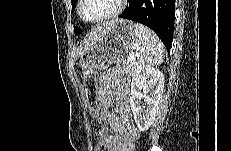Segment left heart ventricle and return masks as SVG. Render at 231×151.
<instances>
[{
    "label": "left heart ventricle",
    "mask_w": 231,
    "mask_h": 151,
    "mask_svg": "<svg viewBox=\"0 0 231 151\" xmlns=\"http://www.w3.org/2000/svg\"><path fill=\"white\" fill-rule=\"evenodd\" d=\"M118 0H86L83 8L87 19H95L112 12L117 6Z\"/></svg>",
    "instance_id": "1"
}]
</instances>
